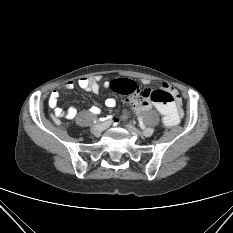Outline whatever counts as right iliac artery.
Wrapping results in <instances>:
<instances>
[{"mask_svg":"<svg viewBox=\"0 0 233 233\" xmlns=\"http://www.w3.org/2000/svg\"><path fill=\"white\" fill-rule=\"evenodd\" d=\"M106 125L108 126V122L97 123L96 125H91V128H102V126H106Z\"/></svg>","mask_w":233,"mask_h":233,"instance_id":"right-iliac-artery-1","label":"right iliac artery"}]
</instances>
